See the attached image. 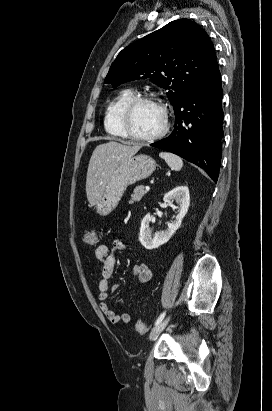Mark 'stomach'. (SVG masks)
Segmentation results:
<instances>
[{
	"label": "stomach",
	"mask_w": 272,
	"mask_h": 411,
	"mask_svg": "<svg viewBox=\"0 0 272 411\" xmlns=\"http://www.w3.org/2000/svg\"><path fill=\"white\" fill-rule=\"evenodd\" d=\"M156 168V162L150 156L140 154L122 162L111 174L103 193L96 205L101 216L109 215L118 205L129 185L148 178Z\"/></svg>",
	"instance_id": "stomach-1"
}]
</instances>
